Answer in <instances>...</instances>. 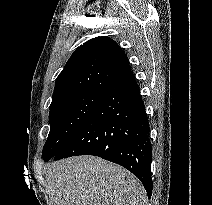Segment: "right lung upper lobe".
Returning <instances> with one entry per match:
<instances>
[{
  "mask_svg": "<svg viewBox=\"0 0 212 205\" xmlns=\"http://www.w3.org/2000/svg\"><path fill=\"white\" fill-rule=\"evenodd\" d=\"M130 70L126 54L115 41L93 38L75 50L57 77L50 109L73 98L103 93Z\"/></svg>",
  "mask_w": 212,
  "mask_h": 205,
  "instance_id": "1",
  "label": "right lung upper lobe"
}]
</instances>
